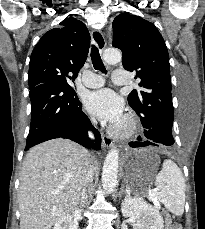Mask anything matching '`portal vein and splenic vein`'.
<instances>
[{"label": "portal vein and splenic vein", "instance_id": "1", "mask_svg": "<svg viewBox=\"0 0 205 229\" xmlns=\"http://www.w3.org/2000/svg\"><path fill=\"white\" fill-rule=\"evenodd\" d=\"M152 201L154 202V204H155L158 208H160V204H159V202L156 200V198H152Z\"/></svg>", "mask_w": 205, "mask_h": 229}]
</instances>
